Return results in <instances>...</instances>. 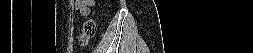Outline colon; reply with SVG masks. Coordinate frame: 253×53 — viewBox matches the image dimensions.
<instances>
[{
  "mask_svg": "<svg viewBox=\"0 0 253 53\" xmlns=\"http://www.w3.org/2000/svg\"><path fill=\"white\" fill-rule=\"evenodd\" d=\"M96 25L93 18L86 20L83 23L81 33L78 36V42L80 46L84 47L88 45L89 41L95 35Z\"/></svg>",
  "mask_w": 253,
  "mask_h": 53,
  "instance_id": "1",
  "label": "colon"
}]
</instances>
